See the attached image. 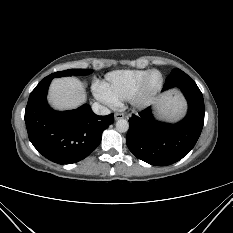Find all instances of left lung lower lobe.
Segmentation results:
<instances>
[{"mask_svg":"<svg viewBox=\"0 0 233 233\" xmlns=\"http://www.w3.org/2000/svg\"><path fill=\"white\" fill-rule=\"evenodd\" d=\"M179 89L188 102L186 117L176 124L155 120L151 108L129 119L126 143L129 150L151 165L167 166L182 159L196 144L204 124V100L196 83L175 68L167 77L163 91Z\"/></svg>","mask_w":233,"mask_h":233,"instance_id":"obj_1","label":"left lung lower lobe"}]
</instances>
